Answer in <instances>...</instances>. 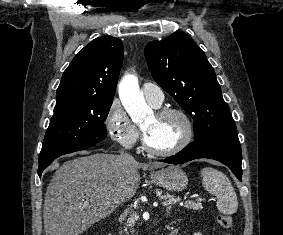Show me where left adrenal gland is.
Returning a JSON list of instances; mask_svg holds the SVG:
<instances>
[{
	"instance_id": "left-adrenal-gland-1",
	"label": "left adrenal gland",
	"mask_w": 283,
	"mask_h": 235,
	"mask_svg": "<svg viewBox=\"0 0 283 235\" xmlns=\"http://www.w3.org/2000/svg\"><path fill=\"white\" fill-rule=\"evenodd\" d=\"M170 210H171V207H170V206L167 207V209H166V214H167V215L169 214Z\"/></svg>"
}]
</instances>
